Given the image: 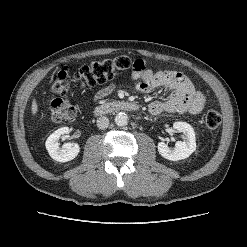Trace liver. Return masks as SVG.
I'll return each instance as SVG.
<instances>
[{"label": "liver", "instance_id": "6515ba94", "mask_svg": "<svg viewBox=\"0 0 247 247\" xmlns=\"http://www.w3.org/2000/svg\"><path fill=\"white\" fill-rule=\"evenodd\" d=\"M31 111L33 116H35L38 112V104L36 102V99H33L32 101Z\"/></svg>", "mask_w": 247, "mask_h": 247}]
</instances>
